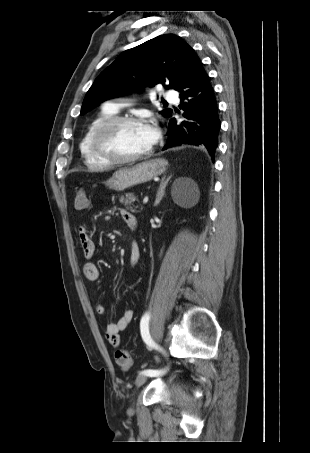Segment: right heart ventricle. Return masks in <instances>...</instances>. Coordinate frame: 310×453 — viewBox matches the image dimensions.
Returning <instances> with one entry per match:
<instances>
[{
	"label": "right heart ventricle",
	"instance_id": "obj_1",
	"mask_svg": "<svg viewBox=\"0 0 310 453\" xmlns=\"http://www.w3.org/2000/svg\"><path fill=\"white\" fill-rule=\"evenodd\" d=\"M115 111L104 106L98 115L89 123L79 144V150L85 164L92 169L107 168L111 164L95 154L92 148V136L95 130L106 120L114 117Z\"/></svg>",
	"mask_w": 310,
	"mask_h": 453
}]
</instances>
